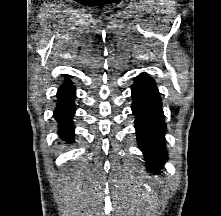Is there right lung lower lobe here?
<instances>
[{
    "mask_svg": "<svg viewBox=\"0 0 221 216\" xmlns=\"http://www.w3.org/2000/svg\"><path fill=\"white\" fill-rule=\"evenodd\" d=\"M76 97L75 88L69 80L58 89V104L54 111L55 120L59 125V135L68 142L74 140L73 116L75 114L74 98Z\"/></svg>",
    "mask_w": 221,
    "mask_h": 216,
    "instance_id": "98d812e1",
    "label": "right lung lower lobe"
}]
</instances>
